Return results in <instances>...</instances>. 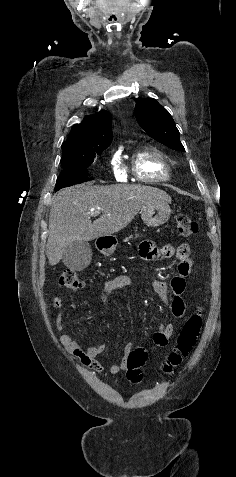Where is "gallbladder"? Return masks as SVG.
Returning <instances> with one entry per match:
<instances>
[{
	"instance_id": "obj_1",
	"label": "gallbladder",
	"mask_w": 236,
	"mask_h": 477,
	"mask_svg": "<svg viewBox=\"0 0 236 477\" xmlns=\"http://www.w3.org/2000/svg\"><path fill=\"white\" fill-rule=\"evenodd\" d=\"M91 257L92 250L88 242L74 241L65 248L62 260L70 270L81 271L89 265Z\"/></svg>"
}]
</instances>
